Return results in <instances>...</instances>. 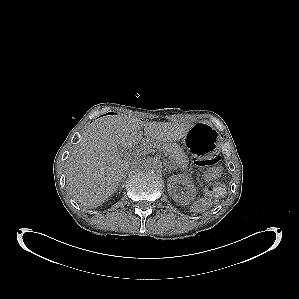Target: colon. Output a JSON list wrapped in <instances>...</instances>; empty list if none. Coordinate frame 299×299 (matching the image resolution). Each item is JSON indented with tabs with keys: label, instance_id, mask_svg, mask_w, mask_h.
<instances>
[{
	"label": "colon",
	"instance_id": "colon-1",
	"mask_svg": "<svg viewBox=\"0 0 299 299\" xmlns=\"http://www.w3.org/2000/svg\"><path fill=\"white\" fill-rule=\"evenodd\" d=\"M221 157L215 156L209 160L206 161H196V165H198L201 168L205 169V178L208 181H212L216 179L221 172ZM218 191V188L215 184H210L207 186L205 193L208 197H212L214 194H216Z\"/></svg>",
	"mask_w": 299,
	"mask_h": 299
}]
</instances>
